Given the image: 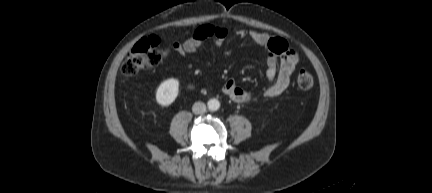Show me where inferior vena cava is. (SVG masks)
Returning a JSON list of instances; mask_svg holds the SVG:
<instances>
[{
	"label": "inferior vena cava",
	"mask_w": 432,
	"mask_h": 193,
	"mask_svg": "<svg viewBox=\"0 0 432 193\" xmlns=\"http://www.w3.org/2000/svg\"><path fill=\"white\" fill-rule=\"evenodd\" d=\"M194 114H203L206 112V105L203 102H196L192 107Z\"/></svg>",
	"instance_id": "602c4592"
}]
</instances>
